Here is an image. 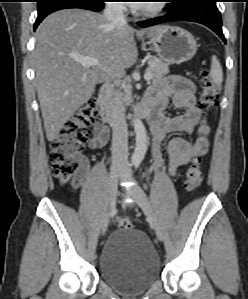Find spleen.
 Returning <instances> with one entry per match:
<instances>
[{"instance_id": "obj_1", "label": "spleen", "mask_w": 248, "mask_h": 299, "mask_svg": "<svg viewBox=\"0 0 248 299\" xmlns=\"http://www.w3.org/2000/svg\"><path fill=\"white\" fill-rule=\"evenodd\" d=\"M210 76L212 81L216 84H221L223 81L222 67L216 56H213L211 60Z\"/></svg>"}]
</instances>
